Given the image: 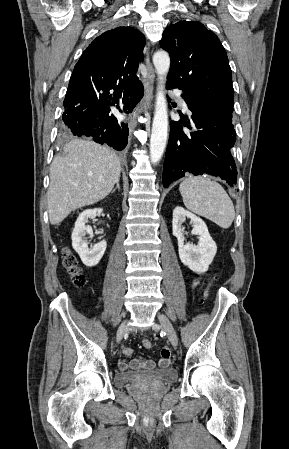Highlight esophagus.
Returning <instances> with one entry per match:
<instances>
[{"label":"esophagus","instance_id":"1","mask_svg":"<svg viewBox=\"0 0 289 449\" xmlns=\"http://www.w3.org/2000/svg\"><path fill=\"white\" fill-rule=\"evenodd\" d=\"M146 65H147V77L144 80L145 93L142 101L134 108V110L131 113L129 122L130 131H133L137 125L136 121L137 115L142 113L146 108H150L153 100L155 74L149 60L148 51L146 53Z\"/></svg>","mask_w":289,"mask_h":449}]
</instances>
